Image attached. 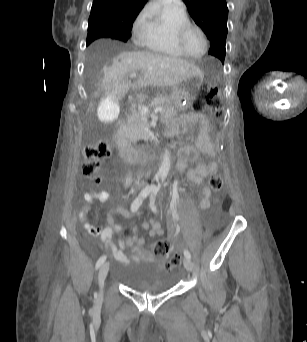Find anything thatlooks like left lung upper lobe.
<instances>
[{
	"instance_id": "left-lung-upper-lobe-1",
	"label": "left lung upper lobe",
	"mask_w": 307,
	"mask_h": 342,
	"mask_svg": "<svg viewBox=\"0 0 307 342\" xmlns=\"http://www.w3.org/2000/svg\"><path fill=\"white\" fill-rule=\"evenodd\" d=\"M190 15L210 40L209 54L224 63L228 8L225 0H183Z\"/></svg>"
}]
</instances>
